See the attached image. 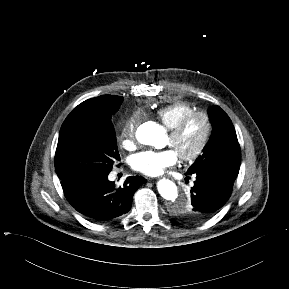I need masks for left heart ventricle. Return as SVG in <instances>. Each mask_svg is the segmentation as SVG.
I'll return each instance as SVG.
<instances>
[{"label": "left heart ventricle", "instance_id": "b2bd125f", "mask_svg": "<svg viewBox=\"0 0 289 289\" xmlns=\"http://www.w3.org/2000/svg\"><path fill=\"white\" fill-rule=\"evenodd\" d=\"M204 130L205 126L203 119L195 117L188 122L177 138L173 139L169 135L167 143L178 155L189 154L199 145Z\"/></svg>", "mask_w": 289, "mask_h": 289}]
</instances>
